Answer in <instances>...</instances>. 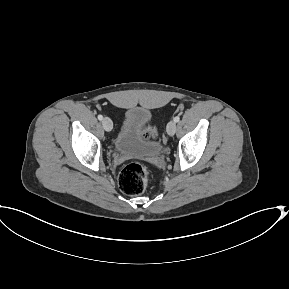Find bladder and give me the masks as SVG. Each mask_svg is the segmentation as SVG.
Here are the masks:
<instances>
[{
	"label": "bladder",
	"mask_w": 289,
	"mask_h": 289,
	"mask_svg": "<svg viewBox=\"0 0 289 289\" xmlns=\"http://www.w3.org/2000/svg\"><path fill=\"white\" fill-rule=\"evenodd\" d=\"M150 112L142 107L128 109L113 139V147L119 153L141 158L155 157L162 151L161 144L146 136Z\"/></svg>",
	"instance_id": "bladder-1"
}]
</instances>
